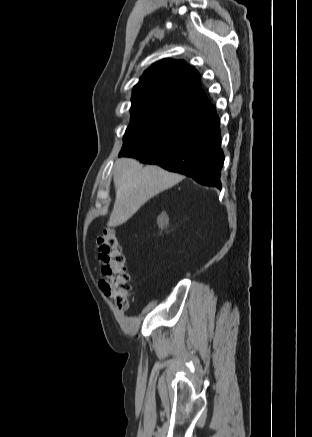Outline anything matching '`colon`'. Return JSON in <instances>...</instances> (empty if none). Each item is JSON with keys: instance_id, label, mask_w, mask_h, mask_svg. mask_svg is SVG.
I'll return each instance as SVG.
<instances>
[{"instance_id": "5ec220e1", "label": "colon", "mask_w": 312, "mask_h": 437, "mask_svg": "<svg viewBox=\"0 0 312 437\" xmlns=\"http://www.w3.org/2000/svg\"><path fill=\"white\" fill-rule=\"evenodd\" d=\"M97 247L102 262L100 288L118 308L127 309L130 297L129 274L116 232L113 229L105 230L97 238Z\"/></svg>"}]
</instances>
